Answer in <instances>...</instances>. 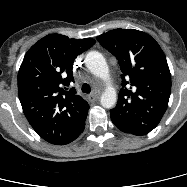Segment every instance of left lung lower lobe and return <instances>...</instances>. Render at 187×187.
<instances>
[{
	"instance_id": "left-lung-lower-lobe-1",
	"label": "left lung lower lobe",
	"mask_w": 187,
	"mask_h": 187,
	"mask_svg": "<svg viewBox=\"0 0 187 187\" xmlns=\"http://www.w3.org/2000/svg\"><path fill=\"white\" fill-rule=\"evenodd\" d=\"M112 122H113L114 125H115L118 129H120L122 132L129 133V132H127L125 129H123L120 125H118L115 121L112 120Z\"/></svg>"
}]
</instances>
